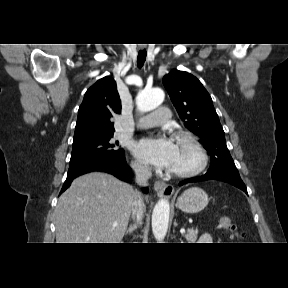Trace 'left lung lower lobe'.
I'll use <instances>...</instances> for the list:
<instances>
[{
    "label": "left lung lower lobe",
    "mask_w": 288,
    "mask_h": 288,
    "mask_svg": "<svg viewBox=\"0 0 288 288\" xmlns=\"http://www.w3.org/2000/svg\"><path fill=\"white\" fill-rule=\"evenodd\" d=\"M206 180H220L226 183H229L241 190H243L245 193H247V189L245 184L243 183V181L241 180V178H235V177H229V176H221V175H208L205 174L203 176H199V177H194V178H190V179H186L183 180L179 183V185H183L186 183H190V182H200V181H206Z\"/></svg>",
    "instance_id": "left-lung-lower-lobe-1"
}]
</instances>
